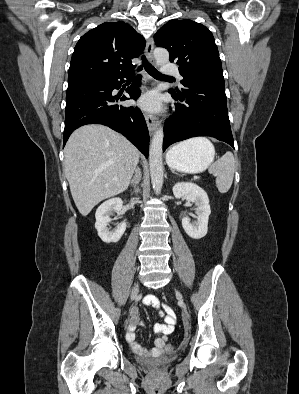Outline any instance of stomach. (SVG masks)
<instances>
[{
  "label": "stomach",
  "instance_id": "1",
  "mask_svg": "<svg viewBox=\"0 0 299 394\" xmlns=\"http://www.w3.org/2000/svg\"><path fill=\"white\" fill-rule=\"evenodd\" d=\"M213 145L185 143L169 150L166 156L170 168L185 173H200L214 160Z\"/></svg>",
  "mask_w": 299,
  "mask_h": 394
}]
</instances>
